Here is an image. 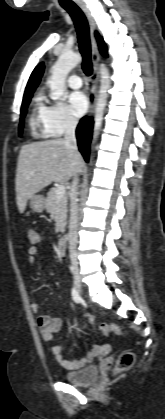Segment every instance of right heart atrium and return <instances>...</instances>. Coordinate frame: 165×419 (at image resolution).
Returning a JSON list of instances; mask_svg holds the SVG:
<instances>
[{
  "instance_id": "1",
  "label": "right heart atrium",
  "mask_w": 165,
  "mask_h": 419,
  "mask_svg": "<svg viewBox=\"0 0 165 419\" xmlns=\"http://www.w3.org/2000/svg\"><path fill=\"white\" fill-rule=\"evenodd\" d=\"M43 127L48 136L59 137L73 130L78 118L63 102H49L43 105Z\"/></svg>"
}]
</instances>
